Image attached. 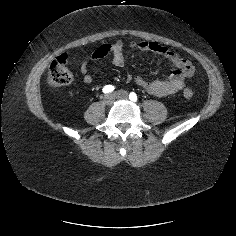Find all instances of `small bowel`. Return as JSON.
<instances>
[{
    "label": "small bowel",
    "instance_id": "c3829d8e",
    "mask_svg": "<svg viewBox=\"0 0 236 236\" xmlns=\"http://www.w3.org/2000/svg\"><path fill=\"white\" fill-rule=\"evenodd\" d=\"M130 47L141 51L159 54L175 66L174 71L165 79L161 80H148L139 75L132 76L130 73H126V82L134 81L136 85L152 95L168 96L175 94L185 88V80L193 75L194 67L192 63L167 47L151 41H134L130 43ZM108 54L112 55L111 64L113 66L124 68L125 60L122 41L118 40L113 44L100 45L92 52L90 60L86 59L81 62L80 73L84 84L91 85L94 82L93 77L88 73L90 61L100 60Z\"/></svg>",
    "mask_w": 236,
    "mask_h": 236
}]
</instances>
